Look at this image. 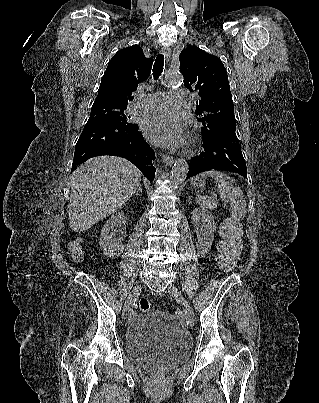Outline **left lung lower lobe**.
Masks as SVG:
<instances>
[{"instance_id": "left-lung-lower-lobe-1", "label": "left lung lower lobe", "mask_w": 319, "mask_h": 403, "mask_svg": "<svg viewBox=\"0 0 319 403\" xmlns=\"http://www.w3.org/2000/svg\"><path fill=\"white\" fill-rule=\"evenodd\" d=\"M236 126H224L203 136V151L191 159L188 178L203 171L225 170L247 178L246 163L235 133Z\"/></svg>"}]
</instances>
